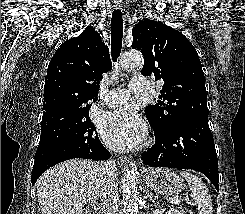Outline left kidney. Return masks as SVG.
Instances as JSON below:
<instances>
[{"label": "left kidney", "instance_id": "1", "mask_svg": "<svg viewBox=\"0 0 245 214\" xmlns=\"http://www.w3.org/2000/svg\"><path fill=\"white\" fill-rule=\"evenodd\" d=\"M169 214H181V213L179 212V210L172 208L169 210Z\"/></svg>", "mask_w": 245, "mask_h": 214}]
</instances>
